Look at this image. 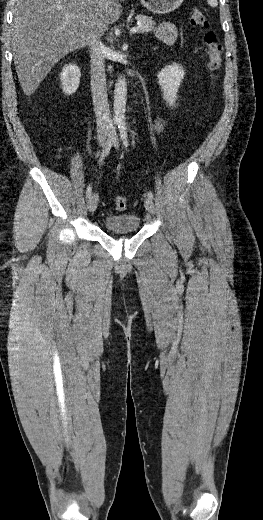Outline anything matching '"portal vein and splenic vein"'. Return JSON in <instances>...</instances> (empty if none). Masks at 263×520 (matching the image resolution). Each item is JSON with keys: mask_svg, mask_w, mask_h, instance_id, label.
I'll return each instance as SVG.
<instances>
[{"mask_svg": "<svg viewBox=\"0 0 263 520\" xmlns=\"http://www.w3.org/2000/svg\"><path fill=\"white\" fill-rule=\"evenodd\" d=\"M65 16H66V19H71V18L74 17L73 14H66ZM137 31H138V27H133V28H131L130 33H131V34H134V33H136Z\"/></svg>", "mask_w": 263, "mask_h": 520, "instance_id": "18ae733b", "label": "portal vein and splenic vein"}]
</instances>
